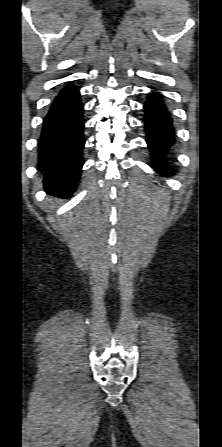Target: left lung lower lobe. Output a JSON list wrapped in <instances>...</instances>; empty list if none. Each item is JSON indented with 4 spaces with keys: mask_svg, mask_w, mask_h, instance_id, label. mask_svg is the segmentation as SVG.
Here are the masks:
<instances>
[{
    "mask_svg": "<svg viewBox=\"0 0 222 447\" xmlns=\"http://www.w3.org/2000/svg\"><path fill=\"white\" fill-rule=\"evenodd\" d=\"M146 142L151 155L157 160H165L170 145L174 142V129L169 112L159 93L152 92L144 105ZM156 168V167H155ZM160 173L159 169H155Z\"/></svg>",
    "mask_w": 222,
    "mask_h": 447,
    "instance_id": "0a47b994",
    "label": "left lung lower lobe"
}]
</instances>
